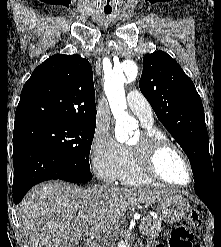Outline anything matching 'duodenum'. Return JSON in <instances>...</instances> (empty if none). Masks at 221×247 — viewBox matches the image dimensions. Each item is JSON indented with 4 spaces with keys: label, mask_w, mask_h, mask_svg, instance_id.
Returning a JSON list of instances; mask_svg holds the SVG:
<instances>
[{
    "label": "duodenum",
    "mask_w": 221,
    "mask_h": 247,
    "mask_svg": "<svg viewBox=\"0 0 221 247\" xmlns=\"http://www.w3.org/2000/svg\"><path fill=\"white\" fill-rule=\"evenodd\" d=\"M86 247H96V244L95 243H93V242H90V243H88L87 244V246Z\"/></svg>",
    "instance_id": "obj_1"
}]
</instances>
